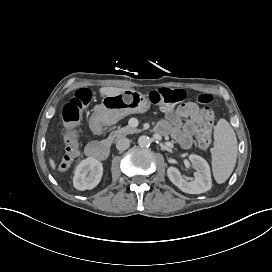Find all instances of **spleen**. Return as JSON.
<instances>
[{
  "label": "spleen",
  "instance_id": "spleen-1",
  "mask_svg": "<svg viewBox=\"0 0 272 272\" xmlns=\"http://www.w3.org/2000/svg\"><path fill=\"white\" fill-rule=\"evenodd\" d=\"M237 158L236 135L230 124L220 118L214 127L212 169L215 180L221 184L231 175Z\"/></svg>",
  "mask_w": 272,
  "mask_h": 272
}]
</instances>
